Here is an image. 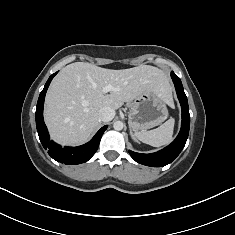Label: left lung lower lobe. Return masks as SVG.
Masks as SVG:
<instances>
[{
	"mask_svg": "<svg viewBox=\"0 0 235 235\" xmlns=\"http://www.w3.org/2000/svg\"><path fill=\"white\" fill-rule=\"evenodd\" d=\"M171 77L174 82L177 96L182 108L181 130L176 139L169 146L158 152L151 154H142L129 150V154L136 162L146 166L162 167L171 163L180 154L188 138L190 114L187 97L184 93L180 78L174 72H171Z\"/></svg>",
	"mask_w": 235,
	"mask_h": 235,
	"instance_id": "obj_1",
	"label": "left lung lower lobe"
}]
</instances>
